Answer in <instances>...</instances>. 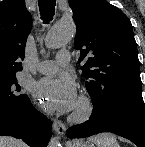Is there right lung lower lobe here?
<instances>
[{"instance_id":"obj_1","label":"right lung lower lobe","mask_w":145,"mask_h":147,"mask_svg":"<svg viewBox=\"0 0 145 147\" xmlns=\"http://www.w3.org/2000/svg\"><path fill=\"white\" fill-rule=\"evenodd\" d=\"M0 136L22 139L31 147H46L51 138L50 121L28 99L22 108L0 111Z\"/></svg>"}]
</instances>
